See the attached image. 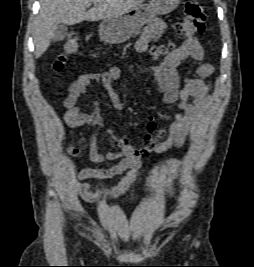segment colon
<instances>
[{
	"label": "colon",
	"mask_w": 254,
	"mask_h": 267,
	"mask_svg": "<svg viewBox=\"0 0 254 267\" xmlns=\"http://www.w3.org/2000/svg\"><path fill=\"white\" fill-rule=\"evenodd\" d=\"M206 13L204 7L198 0H187L183 7V17L175 25V32L180 38H191L195 34L202 33L205 30ZM79 49V42L75 35H69L62 44V52L56 58L53 69L55 72H60L64 69L69 58L74 55ZM153 57H162L168 54L169 47L165 45L155 46L151 48ZM73 155H77L79 150L76 147L70 149ZM180 166V161L172 159L169 162V174L173 178L170 185V193L175 194V174Z\"/></svg>",
	"instance_id": "5ec220e1"
}]
</instances>
